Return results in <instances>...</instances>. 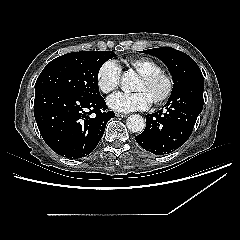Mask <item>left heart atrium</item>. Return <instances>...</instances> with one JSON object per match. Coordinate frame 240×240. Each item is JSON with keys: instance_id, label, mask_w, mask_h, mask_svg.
<instances>
[{"instance_id": "left-heart-atrium-1", "label": "left heart atrium", "mask_w": 240, "mask_h": 240, "mask_svg": "<svg viewBox=\"0 0 240 240\" xmlns=\"http://www.w3.org/2000/svg\"><path fill=\"white\" fill-rule=\"evenodd\" d=\"M108 104L118 112H131L148 108L151 101L143 91L117 92L108 98Z\"/></svg>"}]
</instances>
